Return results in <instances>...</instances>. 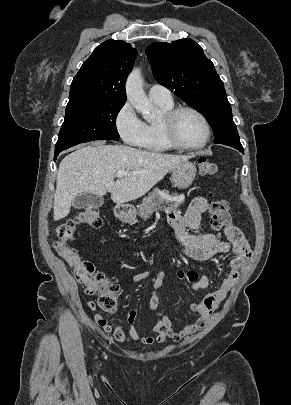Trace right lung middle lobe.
Wrapping results in <instances>:
<instances>
[{
  "label": "right lung middle lobe",
  "mask_w": 291,
  "mask_h": 405,
  "mask_svg": "<svg viewBox=\"0 0 291 405\" xmlns=\"http://www.w3.org/2000/svg\"><path fill=\"white\" fill-rule=\"evenodd\" d=\"M124 103L112 101H88L67 104L55 147L58 154L74 145L93 140H119L116 117Z\"/></svg>",
  "instance_id": "obj_1"
}]
</instances>
